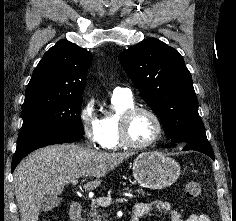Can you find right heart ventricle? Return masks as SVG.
Instances as JSON below:
<instances>
[{
	"mask_svg": "<svg viewBox=\"0 0 236 221\" xmlns=\"http://www.w3.org/2000/svg\"><path fill=\"white\" fill-rule=\"evenodd\" d=\"M112 111L106 112L100 119L102 128V147L109 150L122 148L119 138V119L121 114L128 108L135 106L133 98L112 96Z\"/></svg>",
	"mask_w": 236,
	"mask_h": 221,
	"instance_id": "obj_1",
	"label": "right heart ventricle"
}]
</instances>
